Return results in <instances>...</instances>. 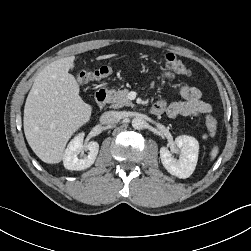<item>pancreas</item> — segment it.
<instances>
[{
	"label": "pancreas",
	"instance_id": "obj_1",
	"mask_svg": "<svg viewBox=\"0 0 251 251\" xmlns=\"http://www.w3.org/2000/svg\"><path fill=\"white\" fill-rule=\"evenodd\" d=\"M128 89L111 90L110 102L113 108H121L123 106H133L132 102L127 98Z\"/></svg>",
	"mask_w": 251,
	"mask_h": 251
}]
</instances>
